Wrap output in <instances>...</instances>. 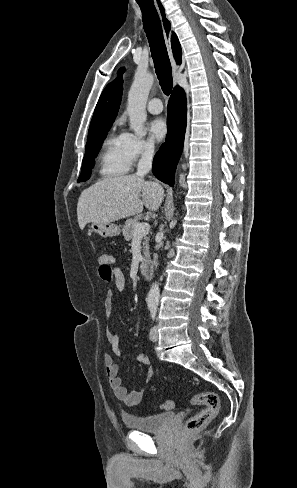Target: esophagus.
Here are the masks:
<instances>
[{
	"instance_id": "esophagus-1",
	"label": "esophagus",
	"mask_w": 297,
	"mask_h": 488,
	"mask_svg": "<svg viewBox=\"0 0 297 488\" xmlns=\"http://www.w3.org/2000/svg\"><path fill=\"white\" fill-rule=\"evenodd\" d=\"M155 6H156L157 12L159 14L160 20H161V26H162L163 35H164L165 43L167 46L170 62L172 65L173 75H174V78H176V75L179 72V67L177 66V64L174 60L172 48H171V31H172L171 23L168 19L164 4L160 0H156ZM174 83L176 84V79L174 80Z\"/></svg>"
}]
</instances>
